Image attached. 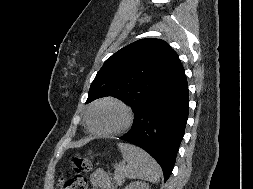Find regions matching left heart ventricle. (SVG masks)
Segmentation results:
<instances>
[{"instance_id": "obj_1", "label": "left heart ventricle", "mask_w": 253, "mask_h": 189, "mask_svg": "<svg viewBox=\"0 0 253 189\" xmlns=\"http://www.w3.org/2000/svg\"><path fill=\"white\" fill-rule=\"evenodd\" d=\"M124 120V111L119 106L111 103H105L96 107L91 114L93 128L101 132L119 128Z\"/></svg>"}]
</instances>
